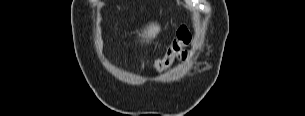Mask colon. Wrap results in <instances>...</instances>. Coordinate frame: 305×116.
I'll return each mask as SVG.
<instances>
[{
	"mask_svg": "<svg viewBox=\"0 0 305 116\" xmlns=\"http://www.w3.org/2000/svg\"><path fill=\"white\" fill-rule=\"evenodd\" d=\"M191 41V34L187 26L181 25L176 30L175 38L168 47L165 55L158 60L153 66V70L156 73L162 72L164 69L169 67L175 58L183 56L184 47Z\"/></svg>",
	"mask_w": 305,
	"mask_h": 116,
	"instance_id": "1",
	"label": "colon"
}]
</instances>
